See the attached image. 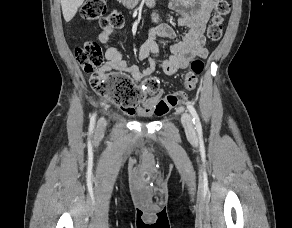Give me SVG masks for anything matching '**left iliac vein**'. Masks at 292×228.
<instances>
[{
    "mask_svg": "<svg viewBox=\"0 0 292 228\" xmlns=\"http://www.w3.org/2000/svg\"><path fill=\"white\" fill-rule=\"evenodd\" d=\"M181 122L183 127L185 128L186 132L193 136L195 135V129L192 121V117L188 112H183L181 115Z\"/></svg>",
    "mask_w": 292,
    "mask_h": 228,
    "instance_id": "obj_1",
    "label": "left iliac vein"
}]
</instances>
